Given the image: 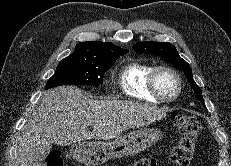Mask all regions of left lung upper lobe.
Returning <instances> with one entry per match:
<instances>
[{
    "label": "left lung upper lobe",
    "mask_w": 231,
    "mask_h": 166,
    "mask_svg": "<svg viewBox=\"0 0 231 166\" xmlns=\"http://www.w3.org/2000/svg\"><path fill=\"white\" fill-rule=\"evenodd\" d=\"M137 53H148L160 56L171 62L175 67L182 70L190 83L192 89L194 90L195 97L203 102V97L201 95L200 87L195 83L192 75V70L189 67V64L182 59L177 49L174 45L169 42H154V41H147V42H138L132 47Z\"/></svg>",
    "instance_id": "left-lung-upper-lobe-1"
}]
</instances>
